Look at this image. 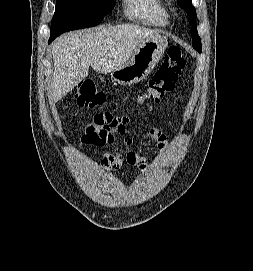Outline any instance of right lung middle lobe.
Listing matches in <instances>:
<instances>
[{"label":"right lung middle lobe","instance_id":"dd1d6c3e","mask_svg":"<svg viewBox=\"0 0 253 271\" xmlns=\"http://www.w3.org/2000/svg\"><path fill=\"white\" fill-rule=\"evenodd\" d=\"M114 7V0H56L50 37L98 25Z\"/></svg>","mask_w":253,"mask_h":271}]
</instances>
